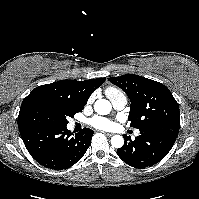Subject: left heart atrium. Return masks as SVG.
<instances>
[{"label":"left heart atrium","instance_id":"left-heart-atrium-1","mask_svg":"<svg viewBox=\"0 0 199 199\" xmlns=\"http://www.w3.org/2000/svg\"><path fill=\"white\" fill-rule=\"evenodd\" d=\"M90 124L99 129H107L109 128L112 123L103 117H94L90 120Z\"/></svg>","mask_w":199,"mask_h":199}]
</instances>
